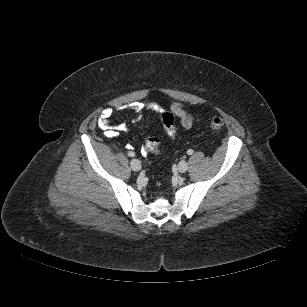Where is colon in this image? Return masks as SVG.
Listing matches in <instances>:
<instances>
[{"label": "colon", "instance_id": "5ec220e1", "mask_svg": "<svg viewBox=\"0 0 307 307\" xmlns=\"http://www.w3.org/2000/svg\"><path fill=\"white\" fill-rule=\"evenodd\" d=\"M160 118L162 120L163 126L165 128L166 133L170 137H174L176 134V126L174 117L171 113L162 112L160 114ZM211 128L220 129L224 126V120L221 117L215 116L210 119L209 122ZM145 149L147 152L158 153L160 151V142L157 137H149L145 143Z\"/></svg>", "mask_w": 307, "mask_h": 307}]
</instances>
